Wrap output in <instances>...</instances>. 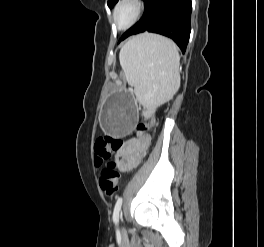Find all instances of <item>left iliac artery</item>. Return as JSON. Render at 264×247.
<instances>
[{"instance_id":"left-iliac-artery-1","label":"left iliac artery","mask_w":264,"mask_h":247,"mask_svg":"<svg viewBox=\"0 0 264 247\" xmlns=\"http://www.w3.org/2000/svg\"><path fill=\"white\" fill-rule=\"evenodd\" d=\"M121 206H122V197H119L116 201L113 211V222L116 224L119 222V213L121 210Z\"/></svg>"}]
</instances>
